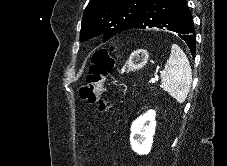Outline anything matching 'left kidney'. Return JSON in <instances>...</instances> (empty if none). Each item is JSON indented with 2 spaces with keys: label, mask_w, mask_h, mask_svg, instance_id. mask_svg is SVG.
I'll return each instance as SVG.
<instances>
[{
  "label": "left kidney",
  "mask_w": 227,
  "mask_h": 166,
  "mask_svg": "<svg viewBox=\"0 0 227 166\" xmlns=\"http://www.w3.org/2000/svg\"><path fill=\"white\" fill-rule=\"evenodd\" d=\"M155 118L156 112L149 110L134 120L131 125V148L139 155H147L151 151L156 128Z\"/></svg>",
  "instance_id": "obj_1"
}]
</instances>
